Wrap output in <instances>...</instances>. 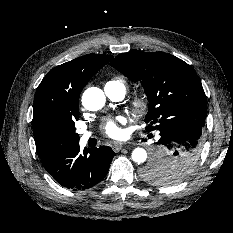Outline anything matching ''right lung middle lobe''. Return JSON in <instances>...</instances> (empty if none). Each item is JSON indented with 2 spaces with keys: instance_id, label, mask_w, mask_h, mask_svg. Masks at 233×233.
Returning a JSON list of instances; mask_svg holds the SVG:
<instances>
[{
  "instance_id": "obj_1",
  "label": "right lung middle lobe",
  "mask_w": 233,
  "mask_h": 233,
  "mask_svg": "<svg viewBox=\"0 0 233 233\" xmlns=\"http://www.w3.org/2000/svg\"><path fill=\"white\" fill-rule=\"evenodd\" d=\"M79 119V111L67 113L50 121L41 132L42 152H56L79 144L74 121Z\"/></svg>"
}]
</instances>
